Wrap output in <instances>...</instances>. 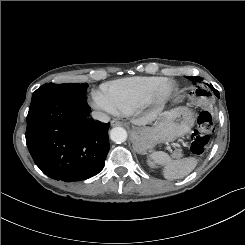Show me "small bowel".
Masks as SVG:
<instances>
[{
  "label": "small bowel",
  "instance_id": "c3829d8e",
  "mask_svg": "<svg viewBox=\"0 0 245 245\" xmlns=\"http://www.w3.org/2000/svg\"><path fill=\"white\" fill-rule=\"evenodd\" d=\"M189 104L193 110L213 111L216 108L214 94L208 90H195L189 94Z\"/></svg>",
  "mask_w": 245,
  "mask_h": 245
}]
</instances>
